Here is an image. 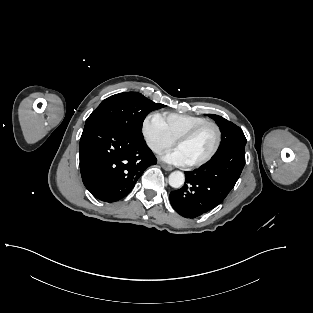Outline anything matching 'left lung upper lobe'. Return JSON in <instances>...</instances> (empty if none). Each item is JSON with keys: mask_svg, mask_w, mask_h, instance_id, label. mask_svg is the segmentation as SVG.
Wrapping results in <instances>:
<instances>
[{"mask_svg": "<svg viewBox=\"0 0 313 313\" xmlns=\"http://www.w3.org/2000/svg\"><path fill=\"white\" fill-rule=\"evenodd\" d=\"M207 115L217 122L222 132L221 144L215 155L235 147H245L247 141L241 128L221 116L215 114Z\"/></svg>", "mask_w": 313, "mask_h": 313, "instance_id": "5c2ea615", "label": "left lung upper lobe"}]
</instances>
